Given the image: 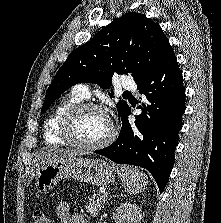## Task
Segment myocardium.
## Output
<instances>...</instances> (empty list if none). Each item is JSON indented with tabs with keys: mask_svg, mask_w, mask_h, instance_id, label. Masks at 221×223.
<instances>
[{
	"mask_svg": "<svg viewBox=\"0 0 221 223\" xmlns=\"http://www.w3.org/2000/svg\"><path fill=\"white\" fill-rule=\"evenodd\" d=\"M98 111L103 113L109 120L110 123V132L109 134L100 142L96 144H84L78 142L73 136V127L77 120V118L86 111ZM116 127L114 126L111 119L106 114L105 110L97 104L89 103V102H82L75 104L74 106L70 107L63 115L60 127H59V135L60 137L69 145L78 149L80 151H97L102 148L109 146L116 137Z\"/></svg>",
	"mask_w": 221,
	"mask_h": 223,
	"instance_id": "f54148a6",
	"label": "myocardium"
}]
</instances>
